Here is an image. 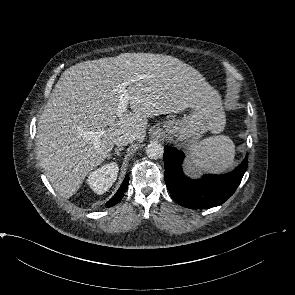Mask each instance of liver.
<instances>
[{"label":"liver","instance_id":"1","mask_svg":"<svg viewBox=\"0 0 295 295\" xmlns=\"http://www.w3.org/2000/svg\"><path fill=\"white\" fill-rule=\"evenodd\" d=\"M126 83L132 111L118 116L117 86ZM200 72L181 60L153 53H122L78 63L56 83L38 120L37 153L53 188L73 196L126 133L142 141L148 119L178 113L209 89ZM103 131L96 142L84 132Z\"/></svg>","mask_w":295,"mask_h":295}]
</instances>
